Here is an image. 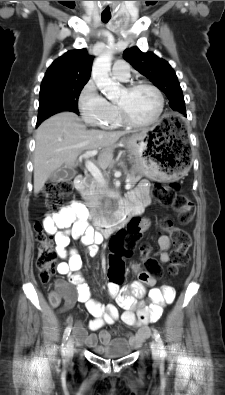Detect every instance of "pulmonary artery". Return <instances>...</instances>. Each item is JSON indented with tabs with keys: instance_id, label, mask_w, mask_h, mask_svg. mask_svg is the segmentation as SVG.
<instances>
[{
	"instance_id": "pulmonary-artery-1",
	"label": "pulmonary artery",
	"mask_w": 225,
	"mask_h": 395,
	"mask_svg": "<svg viewBox=\"0 0 225 395\" xmlns=\"http://www.w3.org/2000/svg\"><path fill=\"white\" fill-rule=\"evenodd\" d=\"M112 75L120 81H127L129 78V65L125 61L115 62L112 68Z\"/></svg>"
}]
</instances>
